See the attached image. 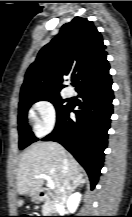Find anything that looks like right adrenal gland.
Listing matches in <instances>:
<instances>
[{"mask_svg":"<svg viewBox=\"0 0 132 217\" xmlns=\"http://www.w3.org/2000/svg\"><path fill=\"white\" fill-rule=\"evenodd\" d=\"M85 179L83 178V174H79L74 182H73V186H72V189H71V192L75 191V189L78 187V186H81L83 184H85Z\"/></svg>","mask_w":132,"mask_h":217,"instance_id":"2a0ac1e0","label":"right adrenal gland"}]
</instances>
